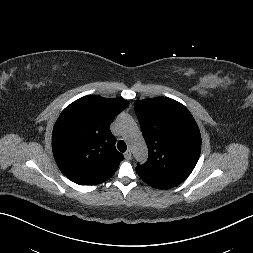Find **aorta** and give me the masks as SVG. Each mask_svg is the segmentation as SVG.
Segmentation results:
<instances>
[{
    "instance_id": "1",
    "label": "aorta",
    "mask_w": 253,
    "mask_h": 253,
    "mask_svg": "<svg viewBox=\"0 0 253 253\" xmlns=\"http://www.w3.org/2000/svg\"><path fill=\"white\" fill-rule=\"evenodd\" d=\"M120 129L127 135L134 156L138 161H145L148 157L147 147L132 118L125 116L119 120Z\"/></svg>"
}]
</instances>
